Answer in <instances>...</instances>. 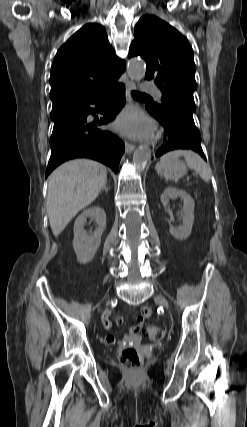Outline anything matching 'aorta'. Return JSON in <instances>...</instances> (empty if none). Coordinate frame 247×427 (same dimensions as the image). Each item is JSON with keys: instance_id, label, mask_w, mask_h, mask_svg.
<instances>
[{"instance_id": "obj_1", "label": "aorta", "mask_w": 247, "mask_h": 427, "mask_svg": "<svg viewBox=\"0 0 247 427\" xmlns=\"http://www.w3.org/2000/svg\"><path fill=\"white\" fill-rule=\"evenodd\" d=\"M146 66L141 61L132 59L127 66V73L133 79H140L144 77ZM151 158V150L148 147L138 148L133 155V164L137 168H145Z\"/></svg>"}]
</instances>
